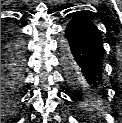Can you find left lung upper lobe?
Listing matches in <instances>:
<instances>
[{
    "instance_id": "obj_1",
    "label": "left lung upper lobe",
    "mask_w": 122,
    "mask_h": 123,
    "mask_svg": "<svg viewBox=\"0 0 122 123\" xmlns=\"http://www.w3.org/2000/svg\"><path fill=\"white\" fill-rule=\"evenodd\" d=\"M78 13H79L80 15H83V16H86V17L92 19V18L87 14V12L84 11V10H83V11H78Z\"/></svg>"
}]
</instances>
